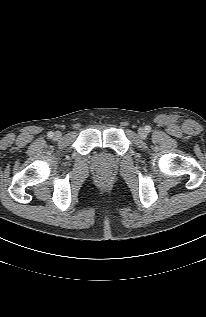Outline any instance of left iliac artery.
I'll use <instances>...</instances> for the list:
<instances>
[{
	"label": "left iliac artery",
	"mask_w": 206,
	"mask_h": 317,
	"mask_svg": "<svg viewBox=\"0 0 206 317\" xmlns=\"http://www.w3.org/2000/svg\"><path fill=\"white\" fill-rule=\"evenodd\" d=\"M146 130H147V132H150V130H151L150 126H146Z\"/></svg>",
	"instance_id": "obj_1"
}]
</instances>
